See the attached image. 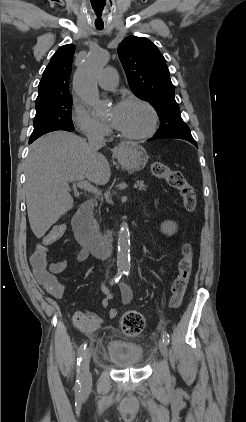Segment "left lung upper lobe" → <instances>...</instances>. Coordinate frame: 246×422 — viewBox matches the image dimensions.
Here are the masks:
<instances>
[{
  "mask_svg": "<svg viewBox=\"0 0 246 422\" xmlns=\"http://www.w3.org/2000/svg\"><path fill=\"white\" fill-rule=\"evenodd\" d=\"M118 56L134 94L151 103L160 118L155 136H191L174 98V86L163 55L147 38L130 36L118 46Z\"/></svg>",
  "mask_w": 246,
  "mask_h": 422,
  "instance_id": "1",
  "label": "left lung upper lobe"
}]
</instances>
